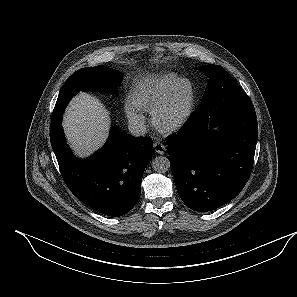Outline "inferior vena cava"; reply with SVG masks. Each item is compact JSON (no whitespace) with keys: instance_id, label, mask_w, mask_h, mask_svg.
<instances>
[{"instance_id":"1","label":"inferior vena cava","mask_w":297,"mask_h":297,"mask_svg":"<svg viewBox=\"0 0 297 297\" xmlns=\"http://www.w3.org/2000/svg\"><path fill=\"white\" fill-rule=\"evenodd\" d=\"M129 132L136 137L143 136L146 133V125L139 120H133L128 125Z\"/></svg>"}]
</instances>
